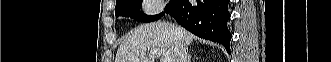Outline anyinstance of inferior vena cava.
<instances>
[{
  "label": "inferior vena cava",
  "instance_id": "602c4592",
  "mask_svg": "<svg viewBox=\"0 0 331 62\" xmlns=\"http://www.w3.org/2000/svg\"><path fill=\"white\" fill-rule=\"evenodd\" d=\"M177 50V62H186L187 61V49L183 42L178 43Z\"/></svg>",
  "mask_w": 331,
  "mask_h": 62
}]
</instances>
